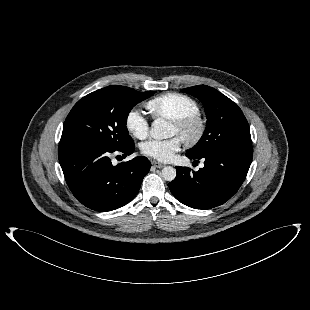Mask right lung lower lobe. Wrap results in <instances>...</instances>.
<instances>
[{"instance_id": "obj_1", "label": "right lung lower lobe", "mask_w": 310, "mask_h": 310, "mask_svg": "<svg viewBox=\"0 0 310 310\" xmlns=\"http://www.w3.org/2000/svg\"><path fill=\"white\" fill-rule=\"evenodd\" d=\"M134 143L116 149L109 144L75 141L60 143L59 162L73 195L86 207L111 211L124 206L137 194L151 163L139 156L128 162L112 165V153L130 155Z\"/></svg>"}]
</instances>
